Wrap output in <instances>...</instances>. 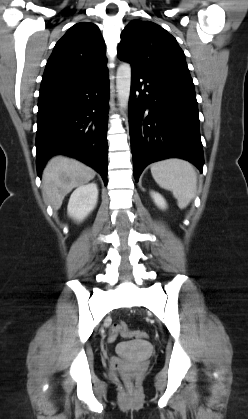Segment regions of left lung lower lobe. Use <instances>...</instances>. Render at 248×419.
<instances>
[{"instance_id":"obj_1","label":"left lung lower lobe","mask_w":248,"mask_h":419,"mask_svg":"<svg viewBox=\"0 0 248 419\" xmlns=\"http://www.w3.org/2000/svg\"><path fill=\"white\" fill-rule=\"evenodd\" d=\"M129 128L136 181L148 164L170 157L188 160L202 171L194 88L132 69Z\"/></svg>"}]
</instances>
